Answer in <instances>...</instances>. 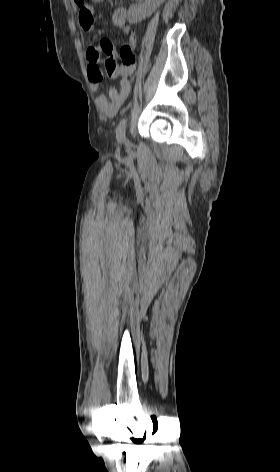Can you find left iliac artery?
<instances>
[{"mask_svg": "<svg viewBox=\"0 0 280 472\" xmlns=\"http://www.w3.org/2000/svg\"><path fill=\"white\" fill-rule=\"evenodd\" d=\"M126 126H127V118H123L116 129V138L118 141H124L126 139L125 137V132H126Z\"/></svg>", "mask_w": 280, "mask_h": 472, "instance_id": "left-iliac-artery-1", "label": "left iliac artery"}]
</instances>
